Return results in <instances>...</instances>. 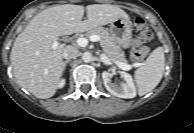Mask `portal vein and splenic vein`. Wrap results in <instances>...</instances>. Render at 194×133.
I'll return each mask as SVG.
<instances>
[{
	"label": "portal vein and splenic vein",
	"mask_w": 194,
	"mask_h": 133,
	"mask_svg": "<svg viewBox=\"0 0 194 133\" xmlns=\"http://www.w3.org/2000/svg\"><path fill=\"white\" fill-rule=\"evenodd\" d=\"M90 41L98 42V41H100V36L99 35H92V36H90ZM76 42H77V44L80 47H86L88 45V39H86V38H78ZM58 45H59V42L58 41H54L53 44H52V48L55 49ZM115 63L121 69H125L126 70V69H130L131 68V66L128 65V64H123V63H118V62H115Z\"/></svg>",
	"instance_id": "portal-vein-and-splenic-vein-1"
}]
</instances>
